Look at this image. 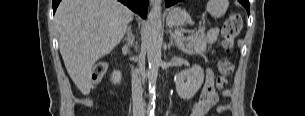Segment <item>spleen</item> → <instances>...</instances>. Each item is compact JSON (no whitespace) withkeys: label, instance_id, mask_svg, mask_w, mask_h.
I'll return each mask as SVG.
<instances>
[{"label":"spleen","instance_id":"obj_1","mask_svg":"<svg viewBox=\"0 0 305 116\" xmlns=\"http://www.w3.org/2000/svg\"><path fill=\"white\" fill-rule=\"evenodd\" d=\"M227 2L224 0H210L207 4V11L214 18L222 17L227 10Z\"/></svg>","mask_w":305,"mask_h":116}]
</instances>
